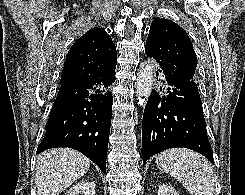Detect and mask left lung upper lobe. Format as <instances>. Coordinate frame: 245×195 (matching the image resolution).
<instances>
[{
  "instance_id": "obj_1",
  "label": "left lung upper lobe",
  "mask_w": 245,
  "mask_h": 195,
  "mask_svg": "<svg viewBox=\"0 0 245 195\" xmlns=\"http://www.w3.org/2000/svg\"><path fill=\"white\" fill-rule=\"evenodd\" d=\"M145 53L166 74L180 81L195 82L197 59L190 38L173 21L156 18L150 27Z\"/></svg>"
}]
</instances>
